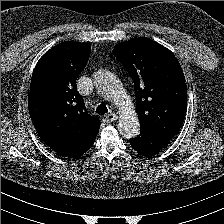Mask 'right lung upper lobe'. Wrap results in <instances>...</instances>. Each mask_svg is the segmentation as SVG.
<instances>
[{
  "instance_id": "cb5924a9",
  "label": "right lung upper lobe",
  "mask_w": 224,
  "mask_h": 224,
  "mask_svg": "<svg viewBox=\"0 0 224 224\" xmlns=\"http://www.w3.org/2000/svg\"><path fill=\"white\" fill-rule=\"evenodd\" d=\"M90 52L88 43H60L40 58L31 79L28 104L35 129L52 150L70 158L89 148L100 126L75 86Z\"/></svg>"
}]
</instances>
